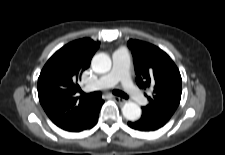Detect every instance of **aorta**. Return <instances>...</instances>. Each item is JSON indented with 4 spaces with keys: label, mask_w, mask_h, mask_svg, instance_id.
<instances>
[{
    "label": "aorta",
    "mask_w": 225,
    "mask_h": 155,
    "mask_svg": "<svg viewBox=\"0 0 225 155\" xmlns=\"http://www.w3.org/2000/svg\"><path fill=\"white\" fill-rule=\"evenodd\" d=\"M92 69L99 74H104L110 71L112 62L107 54H97L91 62ZM123 116L130 121L137 120L141 117V108L134 102H126L122 107Z\"/></svg>",
    "instance_id": "obj_1"
}]
</instances>
